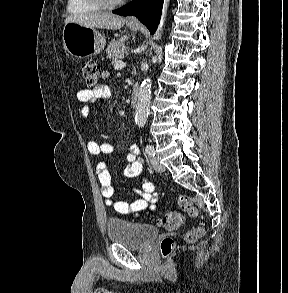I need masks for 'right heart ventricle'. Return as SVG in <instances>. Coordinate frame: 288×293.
Masks as SVG:
<instances>
[{
  "instance_id": "obj_1",
  "label": "right heart ventricle",
  "mask_w": 288,
  "mask_h": 293,
  "mask_svg": "<svg viewBox=\"0 0 288 293\" xmlns=\"http://www.w3.org/2000/svg\"><path fill=\"white\" fill-rule=\"evenodd\" d=\"M103 7L92 0H68L67 10L71 14H86L101 10Z\"/></svg>"
}]
</instances>
